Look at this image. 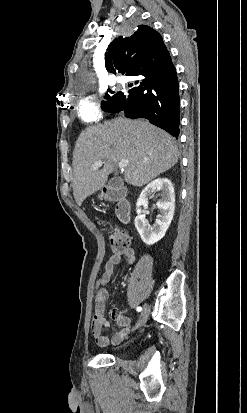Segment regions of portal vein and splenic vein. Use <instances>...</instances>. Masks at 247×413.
<instances>
[{"label":"portal vein and splenic vein","instance_id":"obj_1","mask_svg":"<svg viewBox=\"0 0 247 413\" xmlns=\"http://www.w3.org/2000/svg\"><path fill=\"white\" fill-rule=\"evenodd\" d=\"M94 164L95 166H102L103 160H96ZM127 164H128V160H120V162H118L119 168H124V166H127Z\"/></svg>","mask_w":247,"mask_h":413}]
</instances>
